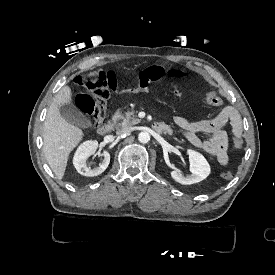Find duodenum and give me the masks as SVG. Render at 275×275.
I'll return each instance as SVG.
<instances>
[{"label": "duodenum", "mask_w": 275, "mask_h": 275, "mask_svg": "<svg viewBox=\"0 0 275 275\" xmlns=\"http://www.w3.org/2000/svg\"><path fill=\"white\" fill-rule=\"evenodd\" d=\"M112 128H113V122L112 121H107V122L103 123L102 125H100L98 127L97 132L100 136H105L111 131ZM152 129L156 133H160V134H162V133H164V134L171 133L170 128L166 124L161 123V122L153 123Z\"/></svg>", "instance_id": "duodenum-1"}]
</instances>
